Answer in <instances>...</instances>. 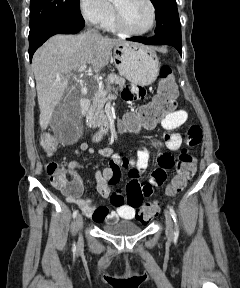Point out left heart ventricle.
Returning a JSON list of instances; mask_svg holds the SVG:
<instances>
[{
	"mask_svg": "<svg viewBox=\"0 0 240 288\" xmlns=\"http://www.w3.org/2000/svg\"><path fill=\"white\" fill-rule=\"evenodd\" d=\"M114 4L131 30L144 31L150 27L152 11L146 0H114Z\"/></svg>",
	"mask_w": 240,
	"mask_h": 288,
	"instance_id": "b2bd125f",
	"label": "left heart ventricle"
}]
</instances>
